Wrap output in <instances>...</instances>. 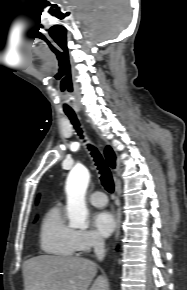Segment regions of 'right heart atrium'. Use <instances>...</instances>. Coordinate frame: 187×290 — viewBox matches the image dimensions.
I'll use <instances>...</instances> for the list:
<instances>
[{
  "mask_svg": "<svg viewBox=\"0 0 187 290\" xmlns=\"http://www.w3.org/2000/svg\"><path fill=\"white\" fill-rule=\"evenodd\" d=\"M74 240L77 251L85 253L93 248L102 246V239L94 232L88 230H75Z\"/></svg>",
  "mask_w": 187,
  "mask_h": 290,
  "instance_id": "d8ad5b80",
  "label": "right heart atrium"
}]
</instances>
